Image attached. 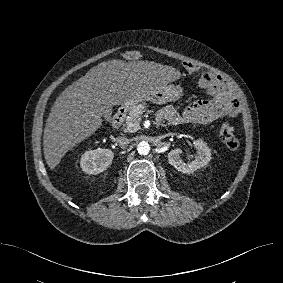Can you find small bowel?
Instances as JSON below:
<instances>
[{
  "label": "small bowel",
  "mask_w": 283,
  "mask_h": 283,
  "mask_svg": "<svg viewBox=\"0 0 283 283\" xmlns=\"http://www.w3.org/2000/svg\"><path fill=\"white\" fill-rule=\"evenodd\" d=\"M186 69L189 72H198L199 84L206 89L210 98L197 100L183 111H177L173 107L163 108L157 114L160 122L166 120L172 125L208 124L239 112V102L220 76L207 70H200L191 63H186Z\"/></svg>",
  "instance_id": "c3829d8e"
}]
</instances>
